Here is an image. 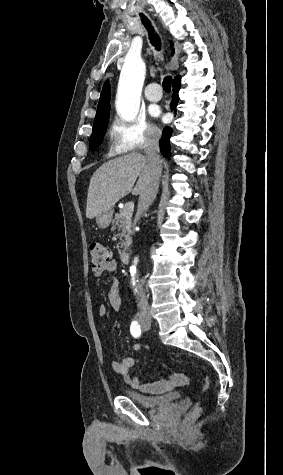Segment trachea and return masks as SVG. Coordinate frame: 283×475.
<instances>
[{
  "label": "trachea",
  "instance_id": "obj_1",
  "mask_svg": "<svg viewBox=\"0 0 283 475\" xmlns=\"http://www.w3.org/2000/svg\"><path fill=\"white\" fill-rule=\"evenodd\" d=\"M140 16H141L142 23L144 24V26L146 27V29L148 31L150 43L157 50H159L160 47H161V43H160V38H159L158 34L154 32V29L152 28L151 22L149 21V19L146 16H144V14H141ZM171 83H172V77L171 76H167V77L164 78L162 86H163V90L165 92H170Z\"/></svg>",
  "mask_w": 283,
  "mask_h": 475
}]
</instances>
